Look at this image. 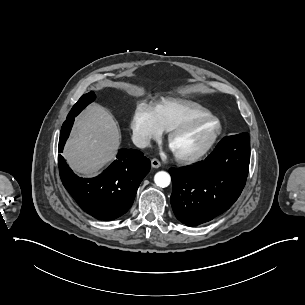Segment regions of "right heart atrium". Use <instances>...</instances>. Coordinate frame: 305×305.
<instances>
[{
    "label": "right heart atrium",
    "mask_w": 305,
    "mask_h": 305,
    "mask_svg": "<svg viewBox=\"0 0 305 305\" xmlns=\"http://www.w3.org/2000/svg\"><path fill=\"white\" fill-rule=\"evenodd\" d=\"M130 126L135 143L142 148L149 147L152 141L162 136L155 109L147 104L137 106Z\"/></svg>",
    "instance_id": "right-heart-atrium-1"
}]
</instances>
